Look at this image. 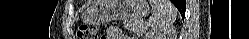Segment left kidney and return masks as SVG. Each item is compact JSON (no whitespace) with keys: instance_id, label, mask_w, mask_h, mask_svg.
Here are the masks:
<instances>
[{"instance_id":"obj_1","label":"left kidney","mask_w":249,"mask_h":39,"mask_svg":"<svg viewBox=\"0 0 249 39\" xmlns=\"http://www.w3.org/2000/svg\"><path fill=\"white\" fill-rule=\"evenodd\" d=\"M146 39H173V37L170 36V34H168L167 31L163 32L152 31L146 35Z\"/></svg>"}]
</instances>
